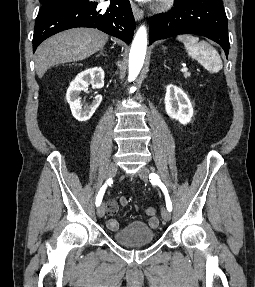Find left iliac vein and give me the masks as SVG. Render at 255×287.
<instances>
[{
  "label": "left iliac vein",
  "instance_id": "4c4485c4",
  "mask_svg": "<svg viewBox=\"0 0 255 287\" xmlns=\"http://www.w3.org/2000/svg\"><path fill=\"white\" fill-rule=\"evenodd\" d=\"M149 173H150V170L147 167H141L138 171V176L143 181H148L149 180ZM161 216H162L163 220L166 222H168L171 219L170 211L164 207L161 210Z\"/></svg>",
  "mask_w": 255,
  "mask_h": 287
}]
</instances>
